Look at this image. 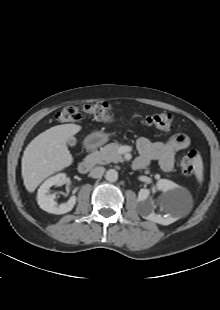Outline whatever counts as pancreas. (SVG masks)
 I'll list each match as a JSON object with an SVG mask.
<instances>
[{
	"label": "pancreas",
	"mask_w": 220,
	"mask_h": 310,
	"mask_svg": "<svg viewBox=\"0 0 220 310\" xmlns=\"http://www.w3.org/2000/svg\"><path fill=\"white\" fill-rule=\"evenodd\" d=\"M119 143H110L105 145L99 151H95L89 155L90 159H93L95 163L105 165L111 162H122L123 158L118 153Z\"/></svg>",
	"instance_id": "cf45deb5"
}]
</instances>
